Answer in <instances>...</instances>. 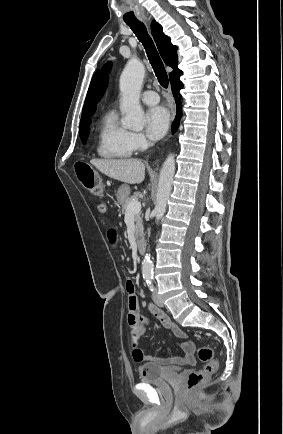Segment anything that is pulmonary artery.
I'll return each mask as SVG.
<instances>
[{
	"label": "pulmonary artery",
	"instance_id": "e3ab8cb5",
	"mask_svg": "<svg viewBox=\"0 0 283 434\" xmlns=\"http://www.w3.org/2000/svg\"><path fill=\"white\" fill-rule=\"evenodd\" d=\"M142 101L147 105H156L159 102V96L155 91H145L141 96Z\"/></svg>",
	"mask_w": 283,
	"mask_h": 434
}]
</instances>
